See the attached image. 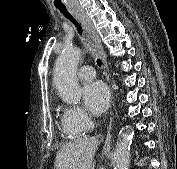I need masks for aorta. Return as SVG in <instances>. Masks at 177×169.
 <instances>
[{"label": "aorta", "instance_id": "obj_1", "mask_svg": "<svg viewBox=\"0 0 177 169\" xmlns=\"http://www.w3.org/2000/svg\"><path fill=\"white\" fill-rule=\"evenodd\" d=\"M81 54L80 48L65 46L54 65V86L60 98L67 103H78L81 98L77 79V67ZM131 144L132 135L127 131L121 133L113 156L114 169H128Z\"/></svg>", "mask_w": 177, "mask_h": 169}]
</instances>
